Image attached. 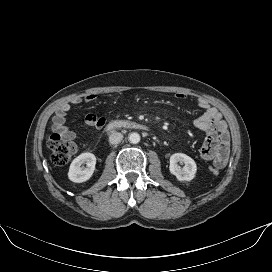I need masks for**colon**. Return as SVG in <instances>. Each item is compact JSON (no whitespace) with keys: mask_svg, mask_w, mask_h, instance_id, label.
Masks as SVG:
<instances>
[{"mask_svg":"<svg viewBox=\"0 0 272 272\" xmlns=\"http://www.w3.org/2000/svg\"><path fill=\"white\" fill-rule=\"evenodd\" d=\"M47 145L51 150V160L55 165L61 166L69 162L71 157L76 152V145L74 142L63 138L58 133H52L47 139ZM213 176L219 174L220 169L211 167L209 169Z\"/></svg>","mask_w":272,"mask_h":272,"instance_id":"colon-1","label":"colon"}]
</instances>
